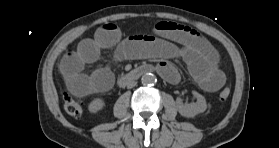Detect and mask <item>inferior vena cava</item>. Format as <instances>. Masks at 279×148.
Instances as JSON below:
<instances>
[{"label":"inferior vena cava","instance_id":"obj_1","mask_svg":"<svg viewBox=\"0 0 279 148\" xmlns=\"http://www.w3.org/2000/svg\"><path fill=\"white\" fill-rule=\"evenodd\" d=\"M137 82L136 81H131L127 84V88H133L134 86H136Z\"/></svg>","mask_w":279,"mask_h":148}]
</instances>
